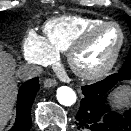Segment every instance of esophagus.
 <instances>
[{"instance_id":"1","label":"esophagus","mask_w":131,"mask_h":131,"mask_svg":"<svg viewBox=\"0 0 131 131\" xmlns=\"http://www.w3.org/2000/svg\"><path fill=\"white\" fill-rule=\"evenodd\" d=\"M45 88H51L57 85V81L53 78L45 79L43 82Z\"/></svg>"}]
</instances>
